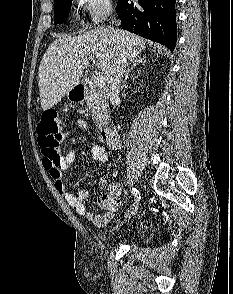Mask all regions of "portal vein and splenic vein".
<instances>
[{"instance_id": "1", "label": "portal vein and splenic vein", "mask_w": 233, "mask_h": 294, "mask_svg": "<svg viewBox=\"0 0 233 294\" xmlns=\"http://www.w3.org/2000/svg\"><path fill=\"white\" fill-rule=\"evenodd\" d=\"M89 61H90V60H85V61H84V64H85V65H88V64H89ZM105 82H106V79H105V77H104L103 75H101V76H97L96 79H95V85H96L97 87H99V88H103L104 85H105Z\"/></svg>"}]
</instances>
